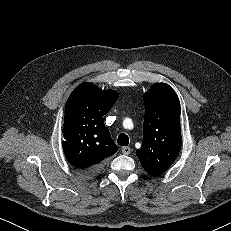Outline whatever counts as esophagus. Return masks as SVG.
<instances>
[{
  "mask_svg": "<svg viewBox=\"0 0 231 231\" xmlns=\"http://www.w3.org/2000/svg\"><path fill=\"white\" fill-rule=\"evenodd\" d=\"M122 153L125 155H129L131 153V148L130 147H123Z\"/></svg>",
  "mask_w": 231,
  "mask_h": 231,
  "instance_id": "1",
  "label": "esophagus"
}]
</instances>
